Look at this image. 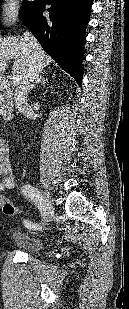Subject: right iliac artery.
Here are the masks:
<instances>
[{
    "label": "right iliac artery",
    "instance_id": "right-iliac-artery-1",
    "mask_svg": "<svg viewBox=\"0 0 129 309\" xmlns=\"http://www.w3.org/2000/svg\"><path fill=\"white\" fill-rule=\"evenodd\" d=\"M24 194L26 196H28L29 198H31V200L34 201L35 205L37 206V208L40 210L43 218H45L46 216V212H45V207L42 203V197L40 196L39 192L36 191L33 187L31 186H26L25 189L23 190ZM27 228H33L34 230L36 229H41L42 227L39 224L36 223H28L26 225Z\"/></svg>",
    "mask_w": 129,
    "mask_h": 309
}]
</instances>
